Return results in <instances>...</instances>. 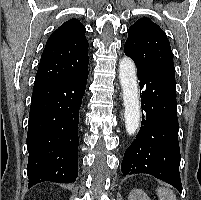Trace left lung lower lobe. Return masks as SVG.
<instances>
[{"label":"left lung lower lobe","mask_w":201,"mask_h":200,"mask_svg":"<svg viewBox=\"0 0 201 200\" xmlns=\"http://www.w3.org/2000/svg\"><path fill=\"white\" fill-rule=\"evenodd\" d=\"M137 76L142 123L135 140L125 151L122 173L151 174L182 192L175 70L137 69Z\"/></svg>","instance_id":"0a47b994"}]
</instances>
